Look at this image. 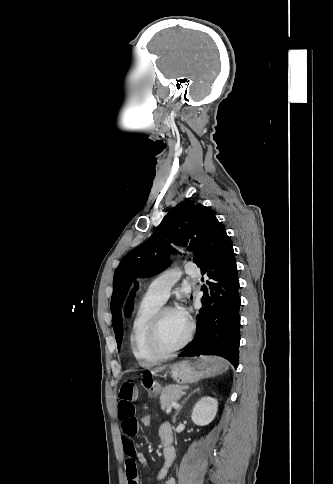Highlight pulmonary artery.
I'll list each match as a JSON object with an SVG mask.
<instances>
[{
    "label": "pulmonary artery",
    "instance_id": "pulmonary-artery-1",
    "mask_svg": "<svg viewBox=\"0 0 333 484\" xmlns=\"http://www.w3.org/2000/svg\"><path fill=\"white\" fill-rule=\"evenodd\" d=\"M183 272L190 277H195L199 273L197 268L192 264H186ZM181 274L182 271L178 269L163 272L150 283L146 295L164 303L169 296L170 290L180 278Z\"/></svg>",
    "mask_w": 333,
    "mask_h": 484
}]
</instances>
